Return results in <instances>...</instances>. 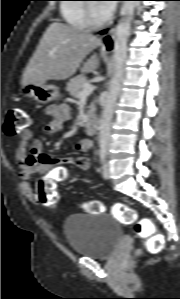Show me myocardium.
Instances as JSON below:
<instances>
[{
    "instance_id": "obj_1",
    "label": "myocardium",
    "mask_w": 180,
    "mask_h": 299,
    "mask_svg": "<svg viewBox=\"0 0 180 299\" xmlns=\"http://www.w3.org/2000/svg\"><path fill=\"white\" fill-rule=\"evenodd\" d=\"M86 11H87V21L90 27L100 28L108 24L110 21L109 16H106L102 19H97L94 14L93 4H87Z\"/></svg>"
}]
</instances>
